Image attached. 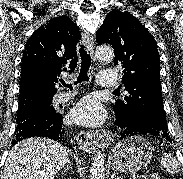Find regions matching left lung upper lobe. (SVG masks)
<instances>
[{"instance_id": "5c2ea615", "label": "left lung upper lobe", "mask_w": 183, "mask_h": 179, "mask_svg": "<svg viewBox=\"0 0 183 179\" xmlns=\"http://www.w3.org/2000/svg\"><path fill=\"white\" fill-rule=\"evenodd\" d=\"M96 41L113 46L114 65L123 69L122 83L129 95L116 100V115L167 131L154 37L130 13L113 10L96 32Z\"/></svg>"}]
</instances>
